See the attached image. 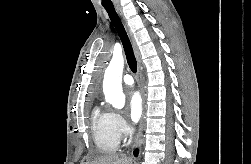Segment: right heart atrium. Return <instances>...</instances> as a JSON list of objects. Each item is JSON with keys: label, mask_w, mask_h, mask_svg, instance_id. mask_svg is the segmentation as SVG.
<instances>
[{"label": "right heart atrium", "mask_w": 251, "mask_h": 164, "mask_svg": "<svg viewBox=\"0 0 251 164\" xmlns=\"http://www.w3.org/2000/svg\"><path fill=\"white\" fill-rule=\"evenodd\" d=\"M112 125L116 135L119 138H122L127 134L128 126L121 115L112 113Z\"/></svg>", "instance_id": "obj_1"}]
</instances>
